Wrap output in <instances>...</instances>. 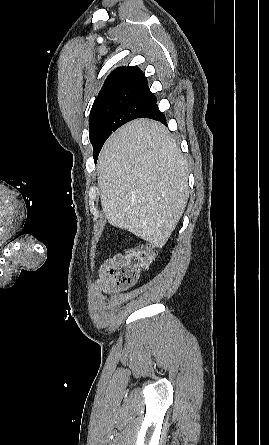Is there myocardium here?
Segmentation results:
<instances>
[{"label": "myocardium", "mask_w": 269, "mask_h": 445, "mask_svg": "<svg viewBox=\"0 0 269 445\" xmlns=\"http://www.w3.org/2000/svg\"><path fill=\"white\" fill-rule=\"evenodd\" d=\"M12 234H8L5 237H3L2 239H0V243H3L4 241H6Z\"/></svg>", "instance_id": "obj_1"}]
</instances>
